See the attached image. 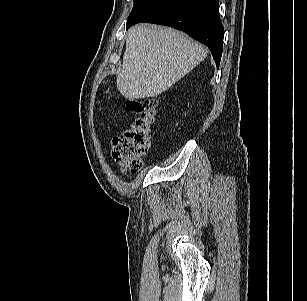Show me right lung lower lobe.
Returning <instances> with one entry per match:
<instances>
[{
	"instance_id": "1",
	"label": "right lung lower lobe",
	"mask_w": 307,
	"mask_h": 301,
	"mask_svg": "<svg viewBox=\"0 0 307 301\" xmlns=\"http://www.w3.org/2000/svg\"><path fill=\"white\" fill-rule=\"evenodd\" d=\"M139 22L167 25L186 32L209 47L219 67L224 37L219 0H165L126 28Z\"/></svg>"
}]
</instances>
